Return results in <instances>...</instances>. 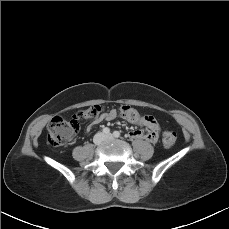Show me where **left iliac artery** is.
Segmentation results:
<instances>
[{
  "label": "left iliac artery",
  "mask_w": 229,
  "mask_h": 229,
  "mask_svg": "<svg viewBox=\"0 0 229 229\" xmlns=\"http://www.w3.org/2000/svg\"><path fill=\"white\" fill-rule=\"evenodd\" d=\"M114 137H120V132L119 131H114L113 132Z\"/></svg>",
  "instance_id": "1"
}]
</instances>
